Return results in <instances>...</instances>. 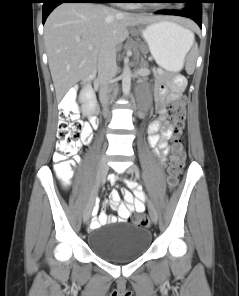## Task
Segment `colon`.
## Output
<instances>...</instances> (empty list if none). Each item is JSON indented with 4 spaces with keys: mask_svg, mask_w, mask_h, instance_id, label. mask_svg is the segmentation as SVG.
Returning <instances> with one entry per match:
<instances>
[{
    "mask_svg": "<svg viewBox=\"0 0 239 296\" xmlns=\"http://www.w3.org/2000/svg\"><path fill=\"white\" fill-rule=\"evenodd\" d=\"M179 79L182 80L183 78ZM75 114V100L73 98H66L62 102L59 112L57 151L54 155V160L56 162L55 170L63 182H67L70 178L74 166L71 157L74 156L81 147L79 137L81 124L75 120ZM168 116L175 129L167 176L168 187L173 191L178 184V179L185 162L182 129L186 116V106L183 97L175 101L169 107ZM132 222L138 226H147L149 220L146 214L139 213L132 217Z\"/></svg>",
    "mask_w": 239,
    "mask_h": 296,
    "instance_id": "1",
    "label": "colon"
}]
</instances>
